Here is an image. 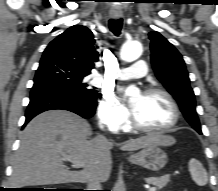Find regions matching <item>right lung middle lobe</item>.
Wrapping results in <instances>:
<instances>
[{
  "mask_svg": "<svg viewBox=\"0 0 218 191\" xmlns=\"http://www.w3.org/2000/svg\"><path fill=\"white\" fill-rule=\"evenodd\" d=\"M88 75L72 68L63 61L47 57L42 58L40 61L34 84H55L88 99L97 98L96 89L84 82L85 77Z\"/></svg>",
  "mask_w": 218,
  "mask_h": 191,
  "instance_id": "1",
  "label": "right lung middle lobe"
}]
</instances>
